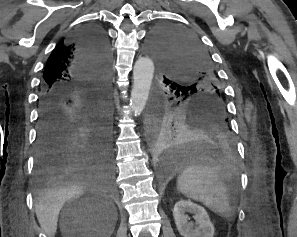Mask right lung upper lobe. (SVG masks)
I'll return each mask as SVG.
<instances>
[{
  "label": "right lung upper lobe",
  "mask_w": 297,
  "mask_h": 237,
  "mask_svg": "<svg viewBox=\"0 0 297 237\" xmlns=\"http://www.w3.org/2000/svg\"><path fill=\"white\" fill-rule=\"evenodd\" d=\"M77 47L72 37L61 40L51 53L44 70L42 91L61 88L69 95H77L87 89V82L76 71Z\"/></svg>",
  "instance_id": "cb5924a9"
}]
</instances>
